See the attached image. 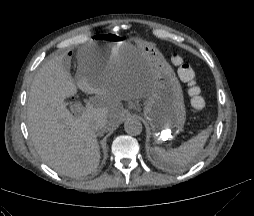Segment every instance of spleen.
<instances>
[{
  "instance_id": "spleen-1",
  "label": "spleen",
  "mask_w": 254,
  "mask_h": 216,
  "mask_svg": "<svg viewBox=\"0 0 254 216\" xmlns=\"http://www.w3.org/2000/svg\"><path fill=\"white\" fill-rule=\"evenodd\" d=\"M209 134L208 129L202 130L176 149L164 150L160 147H154L152 151L162 166L169 171H177L178 168L186 166L203 149Z\"/></svg>"
}]
</instances>
